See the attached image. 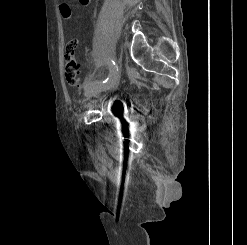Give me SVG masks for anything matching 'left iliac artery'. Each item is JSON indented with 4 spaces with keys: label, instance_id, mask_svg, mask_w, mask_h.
Here are the masks:
<instances>
[{
    "label": "left iliac artery",
    "instance_id": "44dca946",
    "mask_svg": "<svg viewBox=\"0 0 247 245\" xmlns=\"http://www.w3.org/2000/svg\"><path fill=\"white\" fill-rule=\"evenodd\" d=\"M108 65H109V75L102 81H87L84 85L85 89L88 88L92 84H97L104 86L108 84V82L112 79V77L115 75V73L118 71V66L116 65L115 61L112 58L108 59Z\"/></svg>",
    "mask_w": 247,
    "mask_h": 245
}]
</instances>
